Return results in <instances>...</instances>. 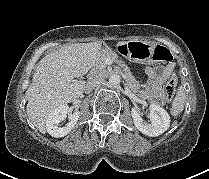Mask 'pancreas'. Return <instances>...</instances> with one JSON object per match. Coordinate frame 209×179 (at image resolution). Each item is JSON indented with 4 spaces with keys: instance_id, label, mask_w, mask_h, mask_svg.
I'll return each mask as SVG.
<instances>
[{
    "instance_id": "1",
    "label": "pancreas",
    "mask_w": 209,
    "mask_h": 179,
    "mask_svg": "<svg viewBox=\"0 0 209 179\" xmlns=\"http://www.w3.org/2000/svg\"><path fill=\"white\" fill-rule=\"evenodd\" d=\"M107 57H110L113 59L114 62H116L119 66L118 71L123 75V78L125 79L126 84L133 92H138L140 85L139 82L136 80L134 75L131 73L128 66L122 61L118 60L117 55H115L113 52H105V56L99 60V62L96 65V68L92 72V76L94 78H104L107 76L108 72L106 70V64L105 59Z\"/></svg>"
}]
</instances>
